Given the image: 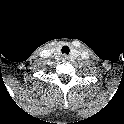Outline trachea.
Listing matches in <instances>:
<instances>
[{"mask_svg":"<svg viewBox=\"0 0 124 124\" xmlns=\"http://www.w3.org/2000/svg\"><path fill=\"white\" fill-rule=\"evenodd\" d=\"M61 52H62V54L68 55L69 52H70V49H69L68 46H63L62 49H61Z\"/></svg>","mask_w":124,"mask_h":124,"instance_id":"obj_1","label":"trachea"}]
</instances>
